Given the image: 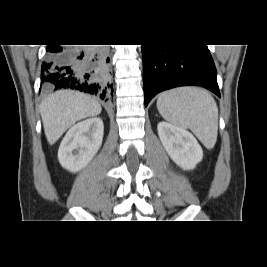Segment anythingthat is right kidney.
<instances>
[{"instance_id":"1","label":"right kidney","mask_w":267,"mask_h":267,"mask_svg":"<svg viewBox=\"0 0 267 267\" xmlns=\"http://www.w3.org/2000/svg\"><path fill=\"white\" fill-rule=\"evenodd\" d=\"M103 131V121L98 117L71 127L58 150L61 166L71 172L80 171L87 166L102 144Z\"/></svg>"}]
</instances>
